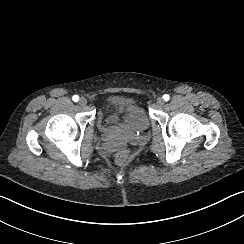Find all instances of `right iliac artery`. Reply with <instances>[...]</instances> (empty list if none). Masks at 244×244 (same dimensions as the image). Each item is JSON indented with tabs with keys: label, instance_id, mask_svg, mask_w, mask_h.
Returning a JSON list of instances; mask_svg holds the SVG:
<instances>
[{
	"label": "right iliac artery",
	"instance_id": "obj_1",
	"mask_svg": "<svg viewBox=\"0 0 244 244\" xmlns=\"http://www.w3.org/2000/svg\"><path fill=\"white\" fill-rule=\"evenodd\" d=\"M72 99H73L74 102H77L79 100V96L78 95H74L72 97Z\"/></svg>",
	"mask_w": 244,
	"mask_h": 244
}]
</instances>
